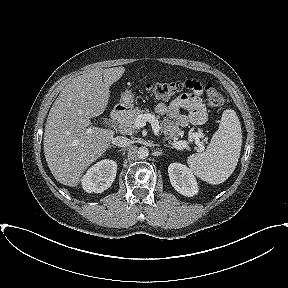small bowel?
I'll return each instance as SVG.
<instances>
[{
    "label": "small bowel",
    "instance_id": "c3829d8e",
    "mask_svg": "<svg viewBox=\"0 0 288 288\" xmlns=\"http://www.w3.org/2000/svg\"><path fill=\"white\" fill-rule=\"evenodd\" d=\"M192 82L191 91L185 92L171 101L169 104L160 103L155 111L161 115H167L180 126H187L189 123L201 125L206 121L207 114L201 100L202 85L196 80ZM182 110L189 113L185 115Z\"/></svg>",
    "mask_w": 288,
    "mask_h": 288
}]
</instances>
